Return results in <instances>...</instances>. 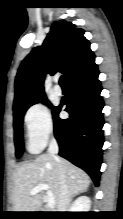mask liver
<instances>
[{
    "label": "liver",
    "mask_w": 123,
    "mask_h": 219,
    "mask_svg": "<svg viewBox=\"0 0 123 219\" xmlns=\"http://www.w3.org/2000/svg\"><path fill=\"white\" fill-rule=\"evenodd\" d=\"M59 164L66 176L70 194L85 191L90 185V177L80 168L65 159L57 161L49 153L41 154L33 161L19 166L14 174L13 210L14 212H38L42 206L44 194L29 192L38 184H47L58 204L60 195Z\"/></svg>",
    "instance_id": "1"
}]
</instances>
